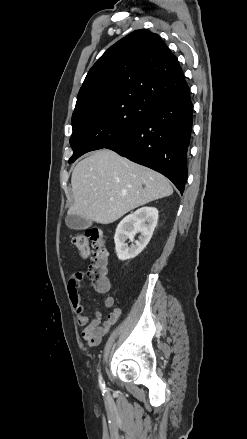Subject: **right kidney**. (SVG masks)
I'll list each match as a JSON object with an SVG mask.
<instances>
[{"mask_svg":"<svg viewBox=\"0 0 247 439\" xmlns=\"http://www.w3.org/2000/svg\"><path fill=\"white\" fill-rule=\"evenodd\" d=\"M158 221V210L154 207H142L129 214L118 224L114 236L115 251L119 260L136 257L149 243ZM140 233L139 240L134 237ZM129 239L132 244L128 247Z\"/></svg>","mask_w":247,"mask_h":439,"instance_id":"1","label":"right kidney"}]
</instances>
